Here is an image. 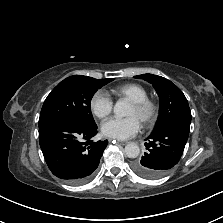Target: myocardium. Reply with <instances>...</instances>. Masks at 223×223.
<instances>
[{"label":"myocardium","instance_id":"1","mask_svg":"<svg viewBox=\"0 0 223 223\" xmlns=\"http://www.w3.org/2000/svg\"><path fill=\"white\" fill-rule=\"evenodd\" d=\"M132 105L136 108L140 121L144 126H151L156 122L160 112V105L156 100L147 97L143 100L132 102Z\"/></svg>","mask_w":223,"mask_h":223}]
</instances>
